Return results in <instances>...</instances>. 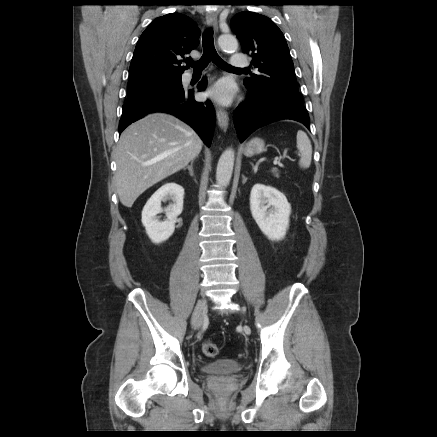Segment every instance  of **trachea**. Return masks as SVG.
<instances>
[{
    "mask_svg": "<svg viewBox=\"0 0 437 437\" xmlns=\"http://www.w3.org/2000/svg\"><path fill=\"white\" fill-rule=\"evenodd\" d=\"M202 46V57L197 61L189 62V66H191L194 71H202L211 61L222 69L246 71V69L234 68L221 59L214 47L213 30L211 28L205 31L202 38Z\"/></svg>",
    "mask_w": 437,
    "mask_h": 437,
    "instance_id": "trachea-1",
    "label": "trachea"
}]
</instances>
